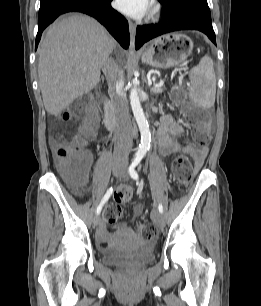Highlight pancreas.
Segmentation results:
<instances>
[{
    "mask_svg": "<svg viewBox=\"0 0 261 306\" xmlns=\"http://www.w3.org/2000/svg\"><path fill=\"white\" fill-rule=\"evenodd\" d=\"M163 89H164V86L163 85H160V86H158V87H152L151 88V91L153 92V93H155V94H158V93H161L162 91H163Z\"/></svg>",
    "mask_w": 261,
    "mask_h": 306,
    "instance_id": "pancreas-1",
    "label": "pancreas"
}]
</instances>
